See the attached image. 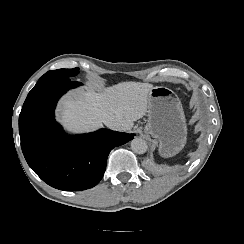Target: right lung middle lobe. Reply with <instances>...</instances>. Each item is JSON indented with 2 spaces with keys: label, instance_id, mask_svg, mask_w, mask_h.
Wrapping results in <instances>:
<instances>
[{
  "label": "right lung middle lobe",
  "instance_id": "right-lung-middle-lobe-1",
  "mask_svg": "<svg viewBox=\"0 0 244 244\" xmlns=\"http://www.w3.org/2000/svg\"><path fill=\"white\" fill-rule=\"evenodd\" d=\"M79 72L78 68L74 69H58V70H53V71H48L45 73L39 80H43L46 78H59V77H73L77 75Z\"/></svg>",
  "mask_w": 244,
  "mask_h": 244
}]
</instances>
